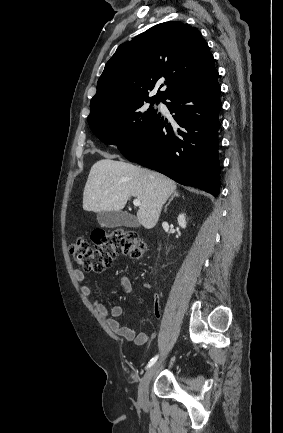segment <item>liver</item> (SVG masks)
<instances>
[{
    "label": "liver",
    "mask_w": 283,
    "mask_h": 433,
    "mask_svg": "<svg viewBox=\"0 0 283 433\" xmlns=\"http://www.w3.org/2000/svg\"><path fill=\"white\" fill-rule=\"evenodd\" d=\"M175 188L176 182L160 172L103 158L91 166L84 186L83 208L94 212L122 210L129 196H137L141 200L137 221L145 229H153Z\"/></svg>",
    "instance_id": "6515ba94"
}]
</instances>
